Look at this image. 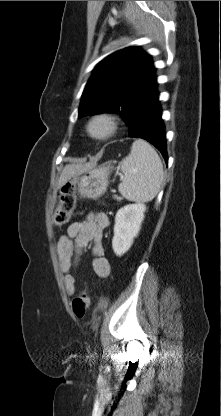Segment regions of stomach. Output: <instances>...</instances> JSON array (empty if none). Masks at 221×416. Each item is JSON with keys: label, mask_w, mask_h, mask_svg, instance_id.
Here are the masks:
<instances>
[{"label": "stomach", "mask_w": 221, "mask_h": 416, "mask_svg": "<svg viewBox=\"0 0 221 416\" xmlns=\"http://www.w3.org/2000/svg\"><path fill=\"white\" fill-rule=\"evenodd\" d=\"M110 169L109 166L94 167L82 175L75 176L73 182L77 185L76 190L80 197L88 199L101 197L108 187Z\"/></svg>", "instance_id": "stomach-1"}]
</instances>
